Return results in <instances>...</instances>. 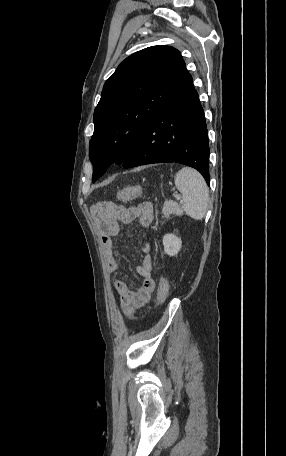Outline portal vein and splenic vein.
<instances>
[{"label":"portal vein and splenic vein","instance_id":"18ae733b","mask_svg":"<svg viewBox=\"0 0 286 456\" xmlns=\"http://www.w3.org/2000/svg\"><path fill=\"white\" fill-rule=\"evenodd\" d=\"M174 197H176L177 199H180L181 196L179 194H176V195H173Z\"/></svg>","mask_w":286,"mask_h":456}]
</instances>
